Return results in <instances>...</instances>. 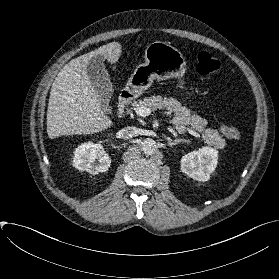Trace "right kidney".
Segmentation results:
<instances>
[{
  "mask_svg": "<svg viewBox=\"0 0 279 279\" xmlns=\"http://www.w3.org/2000/svg\"><path fill=\"white\" fill-rule=\"evenodd\" d=\"M111 160L101 144L92 141L82 143L74 151L73 165L80 171L96 175L106 172Z\"/></svg>",
  "mask_w": 279,
  "mask_h": 279,
  "instance_id": "right-kidney-1",
  "label": "right kidney"
}]
</instances>
